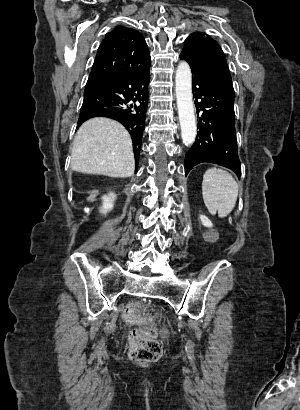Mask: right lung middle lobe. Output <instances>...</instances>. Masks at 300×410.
Listing matches in <instances>:
<instances>
[{
  "label": "right lung middle lobe",
  "mask_w": 300,
  "mask_h": 410,
  "mask_svg": "<svg viewBox=\"0 0 300 410\" xmlns=\"http://www.w3.org/2000/svg\"><path fill=\"white\" fill-rule=\"evenodd\" d=\"M93 84H95V83H87V84H86V87L91 86V85H93Z\"/></svg>",
  "instance_id": "right-lung-middle-lobe-1"
}]
</instances>
